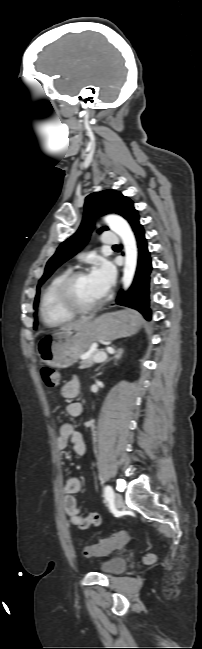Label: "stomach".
<instances>
[{"label": "stomach", "mask_w": 202, "mask_h": 649, "mask_svg": "<svg viewBox=\"0 0 202 649\" xmlns=\"http://www.w3.org/2000/svg\"><path fill=\"white\" fill-rule=\"evenodd\" d=\"M139 318L131 311L106 313L80 328L58 331L38 341L42 362L54 368H67L93 343L114 340L136 332Z\"/></svg>", "instance_id": "1"}]
</instances>
